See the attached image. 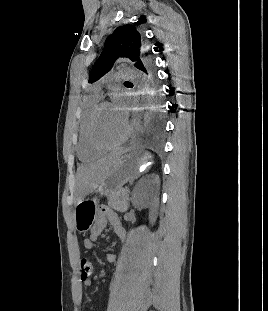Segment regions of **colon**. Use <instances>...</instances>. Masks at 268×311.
Listing matches in <instances>:
<instances>
[{
	"instance_id": "5ec220e1",
	"label": "colon",
	"mask_w": 268,
	"mask_h": 311,
	"mask_svg": "<svg viewBox=\"0 0 268 311\" xmlns=\"http://www.w3.org/2000/svg\"><path fill=\"white\" fill-rule=\"evenodd\" d=\"M94 271V263L88 258L81 260V278H89Z\"/></svg>"
}]
</instances>
